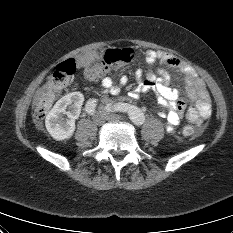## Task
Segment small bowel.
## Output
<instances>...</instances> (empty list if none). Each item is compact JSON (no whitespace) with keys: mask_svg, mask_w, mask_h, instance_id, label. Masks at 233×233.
<instances>
[{"mask_svg":"<svg viewBox=\"0 0 233 233\" xmlns=\"http://www.w3.org/2000/svg\"><path fill=\"white\" fill-rule=\"evenodd\" d=\"M148 65L159 66L155 71H150L146 79H142V71L135 72V79L140 92L154 91L159 97L160 105L166 111V129L173 131L180 123L183 116L195 123L201 124L211 113V100L204 81L189 66L179 60L157 50H148L145 54ZM89 61L85 58L79 59V64L86 67ZM177 68L184 75L186 95L188 102L180 99L176 89L171 87V76L166 68ZM129 82L127 75H122L117 83L111 77H104L101 81L102 87L112 95H117L121 88ZM138 91L133 92L137 95Z\"/></svg>","mask_w":233,"mask_h":233,"instance_id":"c3829d8e","label":"small bowel"}]
</instances>
